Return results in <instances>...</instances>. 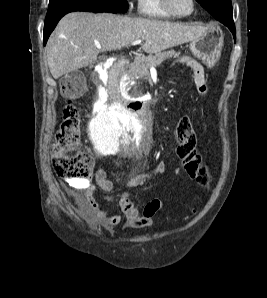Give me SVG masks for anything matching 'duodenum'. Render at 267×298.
<instances>
[{
	"instance_id": "duodenum-1",
	"label": "duodenum",
	"mask_w": 267,
	"mask_h": 298,
	"mask_svg": "<svg viewBox=\"0 0 267 298\" xmlns=\"http://www.w3.org/2000/svg\"><path fill=\"white\" fill-rule=\"evenodd\" d=\"M129 61L122 59L117 63V67H112V75H109V82L106 83L108 89L117 92L113 109L115 112H123V115H155V104H150V100H145L143 93H124L126 84L122 79L128 76ZM131 98V100H126Z\"/></svg>"
}]
</instances>
